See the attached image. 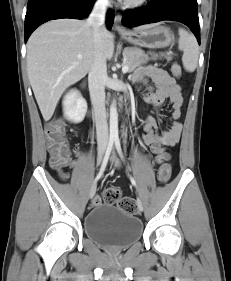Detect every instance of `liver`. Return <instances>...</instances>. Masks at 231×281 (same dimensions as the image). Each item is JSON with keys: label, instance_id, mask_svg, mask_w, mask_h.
Listing matches in <instances>:
<instances>
[{"label": "liver", "instance_id": "obj_1", "mask_svg": "<svg viewBox=\"0 0 231 281\" xmlns=\"http://www.w3.org/2000/svg\"><path fill=\"white\" fill-rule=\"evenodd\" d=\"M96 51L88 21L52 20L31 35L27 43V72L45 121L53 116L64 91L90 71ZM100 52L108 60L114 54V36L106 28Z\"/></svg>", "mask_w": 231, "mask_h": 281}]
</instances>
